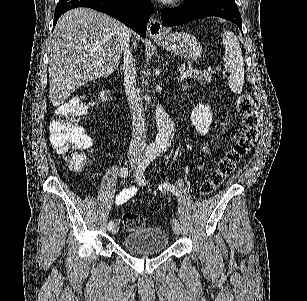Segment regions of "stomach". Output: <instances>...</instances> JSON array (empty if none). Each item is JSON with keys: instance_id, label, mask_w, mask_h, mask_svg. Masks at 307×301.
Returning a JSON list of instances; mask_svg holds the SVG:
<instances>
[{"instance_id": "1", "label": "stomach", "mask_w": 307, "mask_h": 301, "mask_svg": "<svg viewBox=\"0 0 307 301\" xmlns=\"http://www.w3.org/2000/svg\"><path fill=\"white\" fill-rule=\"evenodd\" d=\"M157 44L179 54L183 58H189V60H197L202 54V44L194 34L189 32H164L159 36H151Z\"/></svg>"}]
</instances>
